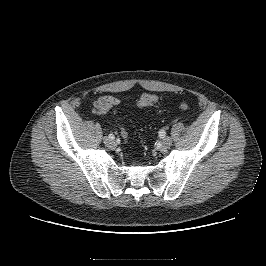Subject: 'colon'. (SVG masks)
I'll return each mask as SVG.
<instances>
[{
  "label": "colon",
  "mask_w": 266,
  "mask_h": 266,
  "mask_svg": "<svg viewBox=\"0 0 266 266\" xmlns=\"http://www.w3.org/2000/svg\"><path fill=\"white\" fill-rule=\"evenodd\" d=\"M157 102V97L154 94H150V93H145L142 94L138 100H137V106L139 108H148V107H152L156 104ZM181 108L185 111L189 110V106L186 103H183L181 105Z\"/></svg>",
  "instance_id": "colon-1"
}]
</instances>
